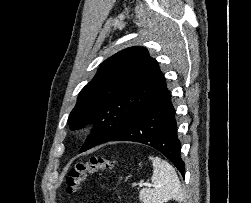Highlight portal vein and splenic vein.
<instances>
[{
	"label": "portal vein and splenic vein",
	"mask_w": 251,
	"mask_h": 203,
	"mask_svg": "<svg viewBox=\"0 0 251 203\" xmlns=\"http://www.w3.org/2000/svg\"><path fill=\"white\" fill-rule=\"evenodd\" d=\"M140 187H143V186H145V187H151L152 186V184L151 183H148V182H146V183H139L138 184Z\"/></svg>",
	"instance_id": "18ae733b"
}]
</instances>
